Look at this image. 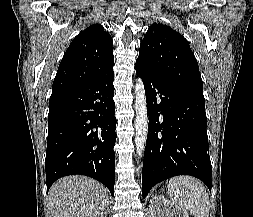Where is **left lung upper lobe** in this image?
<instances>
[{"label":"left lung upper lobe","instance_id":"left-lung-upper-lobe-1","mask_svg":"<svg viewBox=\"0 0 253 217\" xmlns=\"http://www.w3.org/2000/svg\"><path fill=\"white\" fill-rule=\"evenodd\" d=\"M137 62L159 79L204 97L199 67L189 43L171 27L160 23L149 27Z\"/></svg>","mask_w":253,"mask_h":217}]
</instances>
